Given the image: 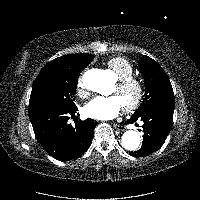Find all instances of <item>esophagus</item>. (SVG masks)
Listing matches in <instances>:
<instances>
[{"instance_id": "esophagus-1", "label": "esophagus", "mask_w": 200, "mask_h": 200, "mask_svg": "<svg viewBox=\"0 0 200 200\" xmlns=\"http://www.w3.org/2000/svg\"><path fill=\"white\" fill-rule=\"evenodd\" d=\"M113 127H114V129L117 130V131H123V126H121V125L113 124Z\"/></svg>"}]
</instances>
